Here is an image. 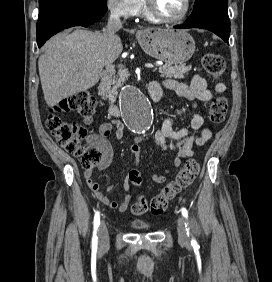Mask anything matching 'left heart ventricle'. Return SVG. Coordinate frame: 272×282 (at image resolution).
Segmentation results:
<instances>
[{
	"label": "left heart ventricle",
	"instance_id": "1",
	"mask_svg": "<svg viewBox=\"0 0 272 282\" xmlns=\"http://www.w3.org/2000/svg\"><path fill=\"white\" fill-rule=\"evenodd\" d=\"M152 3L158 11L169 17L180 15L185 8L184 0H152Z\"/></svg>",
	"mask_w": 272,
	"mask_h": 282
}]
</instances>
